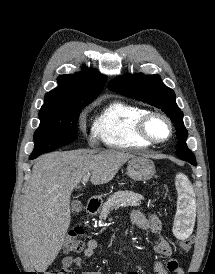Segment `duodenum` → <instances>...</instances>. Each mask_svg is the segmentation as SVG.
I'll list each match as a JSON object with an SVG mask.
<instances>
[{"label":"duodenum","mask_w":215,"mask_h":274,"mask_svg":"<svg viewBox=\"0 0 215 274\" xmlns=\"http://www.w3.org/2000/svg\"><path fill=\"white\" fill-rule=\"evenodd\" d=\"M99 207V203L96 199H90L86 205V211L90 215H94Z\"/></svg>","instance_id":"1"}]
</instances>
